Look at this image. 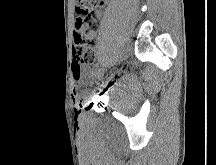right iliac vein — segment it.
Segmentation results:
<instances>
[{"instance_id":"right-iliac-vein-1","label":"right iliac vein","mask_w":216,"mask_h":165,"mask_svg":"<svg viewBox=\"0 0 216 165\" xmlns=\"http://www.w3.org/2000/svg\"><path fill=\"white\" fill-rule=\"evenodd\" d=\"M101 74H102V71L99 70V72H97L93 78L96 80L97 78L101 76Z\"/></svg>"}]
</instances>
